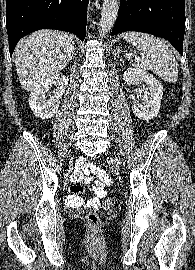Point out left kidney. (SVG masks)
<instances>
[{
	"label": "left kidney",
	"instance_id": "5707ae66",
	"mask_svg": "<svg viewBox=\"0 0 195 270\" xmlns=\"http://www.w3.org/2000/svg\"><path fill=\"white\" fill-rule=\"evenodd\" d=\"M128 84L145 83L146 86L136 90V98L132 107L136 117L142 120H150L156 117L160 110L163 95L162 84L150 73L140 68H128L123 75Z\"/></svg>",
	"mask_w": 195,
	"mask_h": 270
}]
</instances>
